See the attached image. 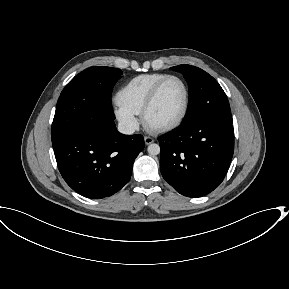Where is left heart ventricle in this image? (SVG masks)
<instances>
[{
    "instance_id": "1",
    "label": "left heart ventricle",
    "mask_w": 289,
    "mask_h": 289,
    "mask_svg": "<svg viewBox=\"0 0 289 289\" xmlns=\"http://www.w3.org/2000/svg\"><path fill=\"white\" fill-rule=\"evenodd\" d=\"M184 99L181 83L174 79L167 81L148 114V123L151 126H161L177 119L183 109Z\"/></svg>"
}]
</instances>
